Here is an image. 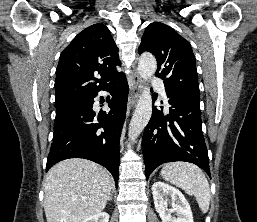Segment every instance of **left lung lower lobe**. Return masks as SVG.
<instances>
[{"mask_svg":"<svg viewBox=\"0 0 257 222\" xmlns=\"http://www.w3.org/2000/svg\"><path fill=\"white\" fill-rule=\"evenodd\" d=\"M165 89L170 104L169 114L164 116L163 111L153 107L142 137L146 179L156 167L173 161L194 163L210 176L199 100Z\"/></svg>","mask_w":257,"mask_h":222,"instance_id":"1","label":"left lung lower lobe"}]
</instances>
